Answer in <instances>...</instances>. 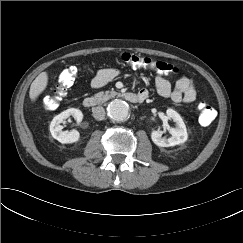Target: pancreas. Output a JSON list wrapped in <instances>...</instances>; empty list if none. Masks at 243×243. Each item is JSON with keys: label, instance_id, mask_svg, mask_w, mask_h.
<instances>
[{"label": "pancreas", "instance_id": "1", "mask_svg": "<svg viewBox=\"0 0 243 243\" xmlns=\"http://www.w3.org/2000/svg\"><path fill=\"white\" fill-rule=\"evenodd\" d=\"M116 94H117V92H115L113 90L112 91H106V92L101 91V92L96 93L93 98L97 102L101 103V102L109 99L110 97H112V96H114Z\"/></svg>", "mask_w": 243, "mask_h": 243}]
</instances>
